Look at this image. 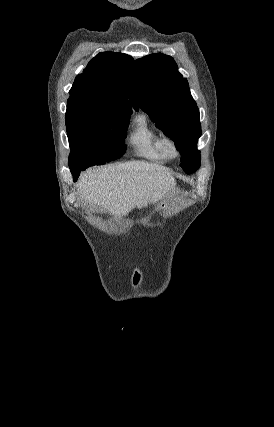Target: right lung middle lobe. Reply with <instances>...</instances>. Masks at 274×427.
Wrapping results in <instances>:
<instances>
[{
	"mask_svg": "<svg viewBox=\"0 0 274 427\" xmlns=\"http://www.w3.org/2000/svg\"><path fill=\"white\" fill-rule=\"evenodd\" d=\"M131 109L118 106L82 107L66 111L71 148L69 166L85 168L120 158Z\"/></svg>",
	"mask_w": 274,
	"mask_h": 427,
	"instance_id": "1",
	"label": "right lung middle lobe"
}]
</instances>
